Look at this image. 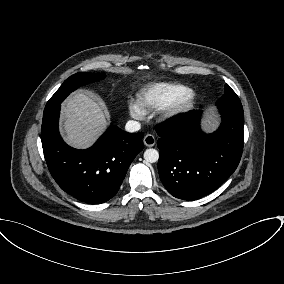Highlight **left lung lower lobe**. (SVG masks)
Instances as JSON below:
<instances>
[{
    "instance_id": "obj_1",
    "label": "left lung lower lobe",
    "mask_w": 284,
    "mask_h": 284,
    "mask_svg": "<svg viewBox=\"0 0 284 284\" xmlns=\"http://www.w3.org/2000/svg\"><path fill=\"white\" fill-rule=\"evenodd\" d=\"M222 124L212 134L200 129L196 110L156 127L160 136L158 172L176 198L196 200L223 184L237 168L243 150V108L218 105Z\"/></svg>"
}]
</instances>
